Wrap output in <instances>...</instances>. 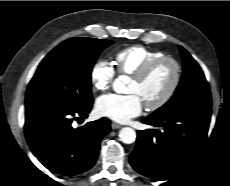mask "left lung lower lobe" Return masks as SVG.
<instances>
[{"label": "left lung lower lobe", "instance_id": "obj_1", "mask_svg": "<svg viewBox=\"0 0 230 186\" xmlns=\"http://www.w3.org/2000/svg\"><path fill=\"white\" fill-rule=\"evenodd\" d=\"M211 109H190L161 117L148 116L143 123L159 130L137 131V143L130 155L132 167L140 174L169 180L195 156L204 145Z\"/></svg>", "mask_w": 230, "mask_h": 186}]
</instances>
